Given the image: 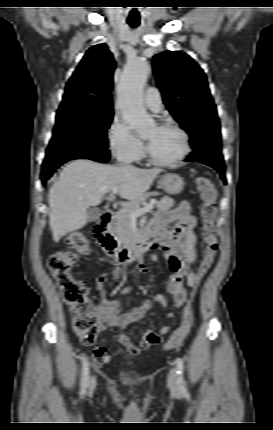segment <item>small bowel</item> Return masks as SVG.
I'll use <instances>...</instances> for the list:
<instances>
[{"instance_id": "obj_1", "label": "small bowel", "mask_w": 273, "mask_h": 430, "mask_svg": "<svg viewBox=\"0 0 273 430\" xmlns=\"http://www.w3.org/2000/svg\"><path fill=\"white\" fill-rule=\"evenodd\" d=\"M176 222L172 228L168 224ZM196 220L190 213V206L187 202H182L175 210H166L159 212L151 221L148 232L153 234L156 243L154 249L161 252L162 257L170 269V278L167 284V291L172 296L175 307H181L187 298V290L184 281L188 287L196 285V243L197 239L194 234ZM154 262H159L158 254L152 256ZM140 270L146 271V266L141 264ZM125 269L116 267L111 273L102 274L96 281L95 289L98 294V327L101 331L106 327L117 328V341L124 346L123 351L126 354L137 356L152 346L160 344L161 336L170 331V326L161 327L158 332L147 329L138 344H135L123 330L134 322H142L150 306V300H146L142 305L133 307L126 313L121 312L122 303L117 300H109L106 296V285L111 281L124 279ZM167 307V300L163 295H157L153 299ZM168 317L174 314L169 312ZM182 324L180 325V327ZM179 327V328H180ZM94 358L104 363L111 361L112 356L108 354L104 346H96L92 350Z\"/></svg>"}]
</instances>
